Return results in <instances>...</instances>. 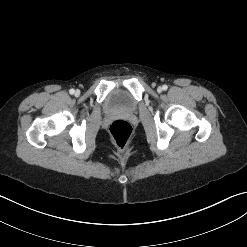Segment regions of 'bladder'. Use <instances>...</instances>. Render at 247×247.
Returning a JSON list of instances; mask_svg holds the SVG:
<instances>
[{"label":"bladder","mask_w":247,"mask_h":247,"mask_svg":"<svg viewBox=\"0 0 247 247\" xmlns=\"http://www.w3.org/2000/svg\"><path fill=\"white\" fill-rule=\"evenodd\" d=\"M107 108L110 111L130 112L135 109V101L128 92L115 90L108 97Z\"/></svg>","instance_id":"obj_1"}]
</instances>
